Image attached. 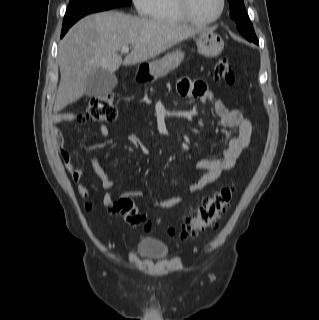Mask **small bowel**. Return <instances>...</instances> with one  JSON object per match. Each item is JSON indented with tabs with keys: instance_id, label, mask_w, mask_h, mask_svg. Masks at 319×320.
<instances>
[{
	"instance_id": "1",
	"label": "small bowel",
	"mask_w": 319,
	"mask_h": 320,
	"mask_svg": "<svg viewBox=\"0 0 319 320\" xmlns=\"http://www.w3.org/2000/svg\"><path fill=\"white\" fill-rule=\"evenodd\" d=\"M178 93L184 98H195L201 101H206L214 97L212 91L203 80H190L187 78H181L178 81ZM214 112L218 118V123L222 127L236 129L237 132L229 139L226 149L220 156L204 158L197 162L196 168L205 171V173L189 186V193H197L203 190L206 186L215 182L223 172L233 168L242 151L250 144L252 124L239 110L228 109L221 99H215ZM72 119L73 116L71 114L55 115L52 122L53 134L57 141L59 153L66 171L69 173L73 182L80 183L83 178V171L72 163V155L70 151L64 147L63 136L58 127L61 122L71 121ZM99 132L102 136L109 134V130L105 125L99 126ZM110 158V152L104 153L102 161L96 155L90 158L91 167L101 179L102 188L105 190L114 187V181L105 165ZM98 190L99 189L93 184H80V192L83 195H90L92 192H98ZM131 194L135 197L145 196L143 191H133ZM183 201V196L176 195L164 201L156 202L153 206L156 209L165 210ZM114 202L115 198L110 194H105L102 198V203L107 208H111Z\"/></svg>"
}]
</instances>
